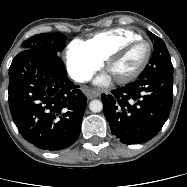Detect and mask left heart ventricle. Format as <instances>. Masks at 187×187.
<instances>
[{
  "instance_id": "b2bd125f",
  "label": "left heart ventricle",
  "mask_w": 187,
  "mask_h": 187,
  "mask_svg": "<svg viewBox=\"0 0 187 187\" xmlns=\"http://www.w3.org/2000/svg\"><path fill=\"white\" fill-rule=\"evenodd\" d=\"M147 54V45L137 42L130 46L119 58L114 60L109 68V73L117 78L126 76L135 71L143 62Z\"/></svg>"
}]
</instances>
